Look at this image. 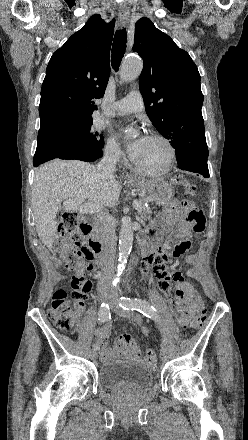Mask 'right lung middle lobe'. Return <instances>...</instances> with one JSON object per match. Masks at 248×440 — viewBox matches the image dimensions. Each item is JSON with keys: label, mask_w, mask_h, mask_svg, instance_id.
<instances>
[{"label": "right lung middle lobe", "mask_w": 248, "mask_h": 440, "mask_svg": "<svg viewBox=\"0 0 248 440\" xmlns=\"http://www.w3.org/2000/svg\"><path fill=\"white\" fill-rule=\"evenodd\" d=\"M91 126L92 120L54 131L39 132L35 154L47 153L58 157L75 154L101 155L103 136Z\"/></svg>", "instance_id": "dd1d6c3e"}]
</instances>
